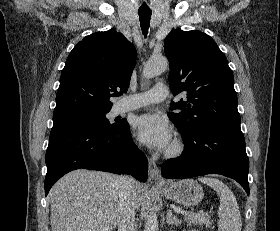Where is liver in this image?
I'll list each match as a JSON object with an SVG mask.
<instances>
[{
  "label": "liver",
  "mask_w": 280,
  "mask_h": 231,
  "mask_svg": "<svg viewBox=\"0 0 280 231\" xmlns=\"http://www.w3.org/2000/svg\"><path fill=\"white\" fill-rule=\"evenodd\" d=\"M121 175L106 171L74 169L49 191L52 231H113L117 225ZM145 185L136 181L131 189L134 207L143 201Z\"/></svg>",
  "instance_id": "liver-1"
}]
</instances>
